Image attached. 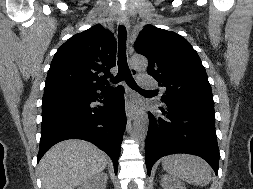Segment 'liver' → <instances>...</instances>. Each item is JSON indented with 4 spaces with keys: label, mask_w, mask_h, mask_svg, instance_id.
Masks as SVG:
<instances>
[{
    "label": "liver",
    "mask_w": 253,
    "mask_h": 189,
    "mask_svg": "<svg viewBox=\"0 0 253 189\" xmlns=\"http://www.w3.org/2000/svg\"><path fill=\"white\" fill-rule=\"evenodd\" d=\"M108 162V156L90 142H60L40 160L42 189H74L102 172Z\"/></svg>",
    "instance_id": "liver-1"
}]
</instances>
